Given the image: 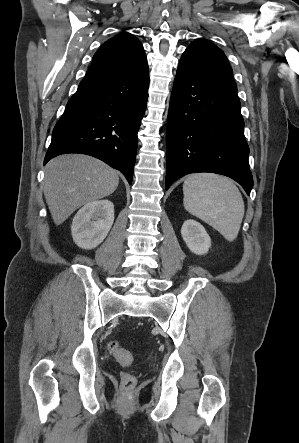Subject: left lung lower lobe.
I'll return each mask as SVG.
<instances>
[{
	"label": "left lung lower lobe",
	"mask_w": 299,
	"mask_h": 443,
	"mask_svg": "<svg viewBox=\"0 0 299 443\" xmlns=\"http://www.w3.org/2000/svg\"><path fill=\"white\" fill-rule=\"evenodd\" d=\"M166 145V189L184 175L211 172L234 179L250 195L253 178L237 91L178 68Z\"/></svg>",
	"instance_id": "left-lung-lower-lobe-1"
}]
</instances>
